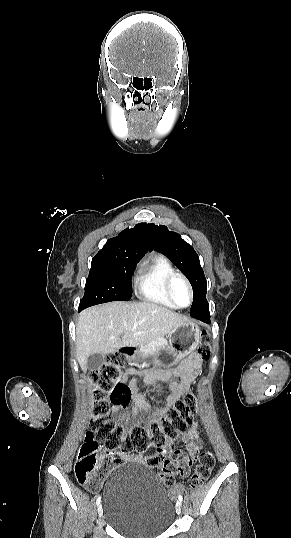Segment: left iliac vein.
Segmentation results:
<instances>
[{"label":"left iliac vein","instance_id":"4c4485c4","mask_svg":"<svg viewBox=\"0 0 291 538\" xmlns=\"http://www.w3.org/2000/svg\"><path fill=\"white\" fill-rule=\"evenodd\" d=\"M181 509H182V504H181L180 501H177V503H176V512H177V514L181 513Z\"/></svg>","mask_w":291,"mask_h":538}]
</instances>
